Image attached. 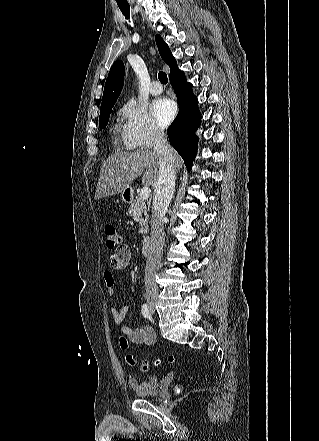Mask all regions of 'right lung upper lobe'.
Listing matches in <instances>:
<instances>
[{"label":"right lung upper lobe","mask_w":319,"mask_h":441,"mask_svg":"<svg viewBox=\"0 0 319 441\" xmlns=\"http://www.w3.org/2000/svg\"><path fill=\"white\" fill-rule=\"evenodd\" d=\"M156 44L164 62L170 67V74L178 70L175 58L173 57L168 45L160 35L155 37ZM124 83V64L122 61H115L107 77L104 93L102 97L101 109L113 107L119 97ZM100 109V110H101Z\"/></svg>","instance_id":"cb5924a9"}]
</instances>
